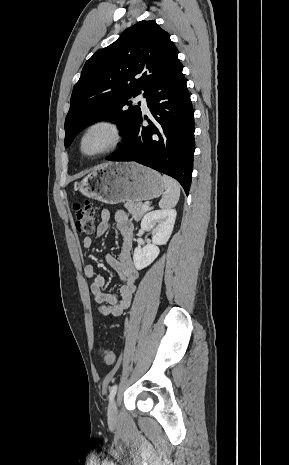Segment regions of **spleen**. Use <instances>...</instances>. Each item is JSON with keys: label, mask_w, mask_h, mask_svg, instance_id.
<instances>
[{"label": "spleen", "mask_w": 289, "mask_h": 465, "mask_svg": "<svg viewBox=\"0 0 289 465\" xmlns=\"http://www.w3.org/2000/svg\"><path fill=\"white\" fill-rule=\"evenodd\" d=\"M162 180L165 194L159 202V207L164 209L173 208L178 203L180 197V185L175 179L167 175H163Z\"/></svg>", "instance_id": "spleen-1"}]
</instances>
